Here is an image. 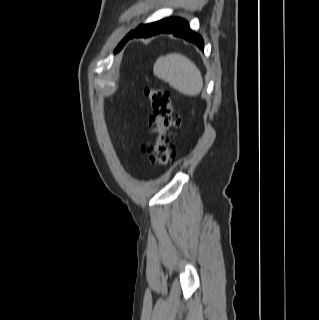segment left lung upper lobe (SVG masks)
I'll return each instance as SVG.
<instances>
[{"mask_svg": "<svg viewBox=\"0 0 319 320\" xmlns=\"http://www.w3.org/2000/svg\"><path fill=\"white\" fill-rule=\"evenodd\" d=\"M124 39H125V38H124ZM124 39H123L122 42L118 45L116 51L122 46V44H123V42H124ZM116 51H115V52H116Z\"/></svg>", "mask_w": 319, "mask_h": 320, "instance_id": "1", "label": "left lung upper lobe"}]
</instances>
